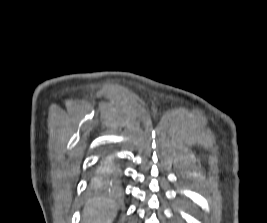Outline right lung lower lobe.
<instances>
[{"instance_id": "1", "label": "right lung lower lobe", "mask_w": 267, "mask_h": 223, "mask_svg": "<svg viewBox=\"0 0 267 223\" xmlns=\"http://www.w3.org/2000/svg\"><path fill=\"white\" fill-rule=\"evenodd\" d=\"M121 179L122 171L118 159L111 155L101 159L96 168L94 186L98 188L115 186Z\"/></svg>"}]
</instances>
